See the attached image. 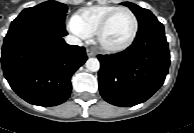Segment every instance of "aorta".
I'll return each instance as SVG.
<instances>
[{
	"instance_id": "1",
	"label": "aorta",
	"mask_w": 194,
	"mask_h": 133,
	"mask_svg": "<svg viewBox=\"0 0 194 133\" xmlns=\"http://www.w3.org/2000/svg\"><path fill=\"white\" fill-rule=\"evenodd\" d=\"M99 66V61L96 58H89L86 62V68L92 72L97 71Z\"/></svg>"
}]
</instances>
